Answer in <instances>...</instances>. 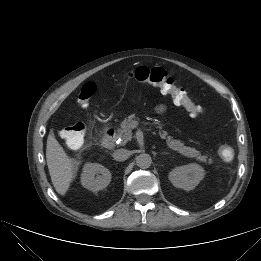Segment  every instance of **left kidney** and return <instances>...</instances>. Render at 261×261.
Returning <instances> with one entry per match:
<instances>
[{
    "label": "left kidney",
    "instance_id": "left-kidney-1",
    "mask_svg": "<svg viewBox=\"0 0 261 261\" xmlns=\"http://www.w3.org/2000/svg\"><path fill=\"white\" fill-rule=\"evenodd\" d=\"M204 169L198 164L176 167L169 173V180L176 188L193 190L204 178Z\"/></svg>",
    "mask_w": 261,
    "mask_h": 261
}]
</instances>
